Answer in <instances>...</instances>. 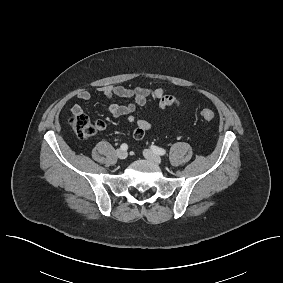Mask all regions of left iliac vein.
Here are the masks:
<instances>
[{
    "instance_id": "4c4485c4",
    "label": "left iliac vein",
    "mask_w": 283,
    "mask_h": 283,
    "mask_svg": "<svg viewBox=\"0 0 283 283\" xmlns=\"http://www.w3.org/2000/svg\"><path fill=\"white\" fill-rule=\"evenodd\" d=\"M143 155L144 157L149 160V161H152L156 164H161L162 163V159L160 156H158L157 154L153 153L152 151L148 150V149H145L143 151Z\"/></svg>"
}]
</instances>
